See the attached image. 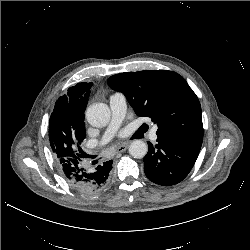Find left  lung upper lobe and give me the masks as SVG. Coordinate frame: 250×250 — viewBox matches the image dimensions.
<instances>
[{
  "label": "left lung upper lobe",
  "instance_id": "1",
  "mask_svg": "<svg viewBox=\"0 0 250 250\" xmlns=\"http://www.w3.org/2000/svg\"><path fill=\"white\" fill-rule=\"evenodd\" d=\"M107 83L126 96L138 116L158 125V137L202 142L200 102L181 75L168 70L125 72Z\"/></svg>",
  "mask_w": 250,
  "mask_h": 250
}]
</instances>
